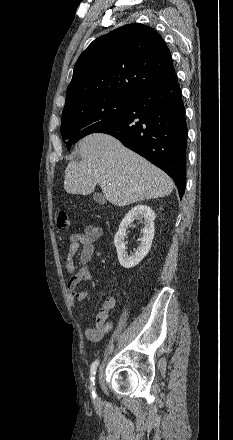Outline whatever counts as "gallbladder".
<instances>
[{
  "label": "gallbladder",
  "mask_w": 233,
  "mask_h": 440,
  "mask_svg": "<svg viewBox=\"0 0 233 440\" xmlns=\"http://www.w3.org/2000/svg\"><path fill=\"white\" fill-rule=\"evenodd\" d=\"M93 199L99 204L106 203V198L101 193H94Z\"/></svg>",
  "instance_id": "bac80fb5"
}]
</instances>
